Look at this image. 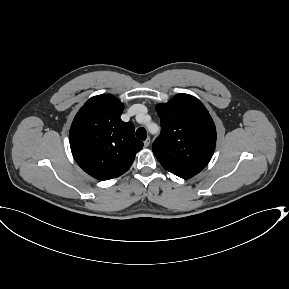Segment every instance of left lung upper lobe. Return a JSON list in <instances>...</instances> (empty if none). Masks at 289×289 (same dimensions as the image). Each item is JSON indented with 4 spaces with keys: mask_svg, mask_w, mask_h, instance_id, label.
<instances>
[{
    "mask_svg": "<svg viewBox=\"0 0 289 289\" xmlns=\"http://www.w3.org/2000/svg\"><path fill=\"white\" fill-rule=\"evenodd\" d=\"M161 134L152 150L169 172L188 179L210 161L216 145V128L204 105L188 94H177L156 107Z\"/></svg>",
    "mask_w": 289,
    "mask_h": 289,
    "instance_id": "left-lung-upper-lobe-1",
    "label": "left lung upper lobe"
}]
</instances>
